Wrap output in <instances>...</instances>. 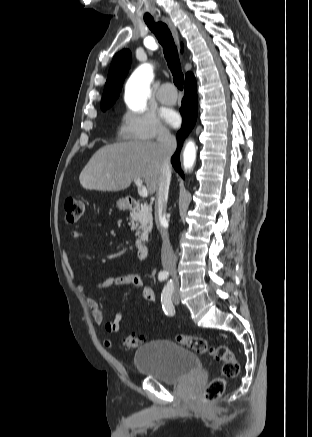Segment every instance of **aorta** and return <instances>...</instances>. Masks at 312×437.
I'll return each instance as SVG.
<instances>
[{"mask_svg": "<svg viewBox=\"0 0 312 437\" xmlns=\"http://www.w3.org/2000/svg\"><path fill=\"white\" fill-rule=\"evenodd\" d=\"M153 68L150 64H143L131 75L126 85L125 101L133 111L142 110L145 107L147 96L150 94V84L153 80ZM196 160V147L193 141H189L183 152V166L185 170H191Z\"/></svg>", "mask_w": 312, "mask_h": 437, "instance_id": "1", "label": "aorta"}]
</instances>
